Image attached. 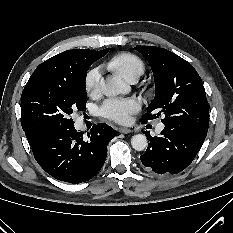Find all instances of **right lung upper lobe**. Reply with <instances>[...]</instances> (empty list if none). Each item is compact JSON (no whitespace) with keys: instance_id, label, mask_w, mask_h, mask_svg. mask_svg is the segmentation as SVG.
I'll return each mask as SVG.
<instances>
[{"instance_id":"cb5924a9","label":"right lung upper lobe","mask_w":233,"mask_h":233,"mask_svg":"<svg viewBox=\"0 0 233 233\" xmlns=\"http://www.w3.org/2000/svg\"><path fill=\"white\" fill-rule=\"evenodd\" d=\"M109 48L101 51L74 49L62 52L41 63L29 80L46 78L54 80H70L74 76L75 67L85 60H98L105 56Z\"/></svg>"}]
</instances>
